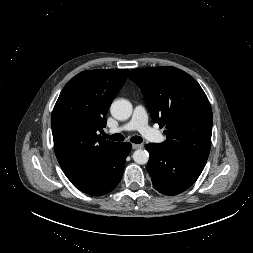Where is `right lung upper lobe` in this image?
Listing matches in <instances>:
<instances>
[{
	"mask_svg": "<svg viewBox=\"0 0 253 253\" xmlns=\"http://www.w3.org/2000/svg\"><path fill=\"white\" fill-rule=\"evenodd\" d=\"M128 69L88 70L74 76L54 106L51 126L57 160L77 187L88 181L116 143L98 135Z\"/></svg>",
	"mask_w": 253,
	"mask_h": 253,
	"instance_id": "1",
	"label": "right lung upper lobe"
}]
</instances>
